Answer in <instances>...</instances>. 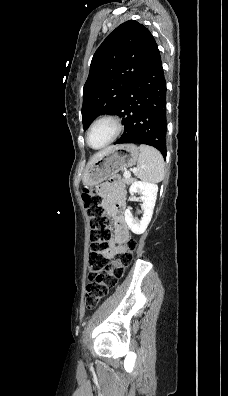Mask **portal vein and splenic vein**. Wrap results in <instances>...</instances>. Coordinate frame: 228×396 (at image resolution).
Segmentation results:
<instances>
[{
  "mask_svg": "<svg viewBox=\"0 0 228 396\" xmlns=\"http://www.w3.org/2000/svg\"><path fill=\"white\" fill-rule=\"evenodd\" d=\"M133 171L135 172V171H136V169H134ZM124 175H125V176H131V174H130V172H129V171H125V172H124Z\"/></svg>",
  "mask_w": 228,
  "mask_h": 396,
  "instance_id": "1",
  "label": "portal vein and splenic vein"
}]
</instances>
